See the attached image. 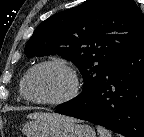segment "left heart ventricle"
Segmentation results:
<instances>
[{
	"instance_id": "obj_1",
	"label": "left heart ventricle",
	"mask_w": 144,
	"mask_h": 137,
	"mask_svg": "<svg viewBox=\"0 0 144 137\" xmlns=\"http://www.w3.org/2000/svg\"><path fill=\"white\" fill-rule=\"evenodd\" d=\"M71 86L69 76L61 69L46 66L36 70L28 81V94L37 99H57L65 95Z\"/></svg>"
}]
</instances>
